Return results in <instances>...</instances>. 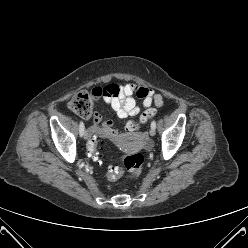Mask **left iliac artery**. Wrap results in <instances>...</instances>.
<instances>
[{
    "instance_id": "left-iliac-artery-1",
    "label": "left iliac artery",
    "mask_w": 248,
    "mask_h": 248,
    "mask_svg": "<svg viewBox=\"0 0 248 248\" xmlns=\"http://www.w3.org/2000/svg\"><path fill=\"white\" fill-rule=\"evenodd\" d=\"M151 128H153V129L156 128V121H155V120H153V121L151 122Z\"/></svg>"
}]
</instances>
